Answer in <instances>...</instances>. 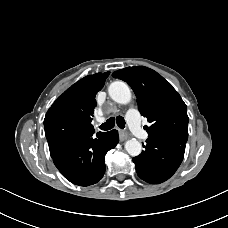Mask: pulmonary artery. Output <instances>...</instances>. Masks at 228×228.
<instances>
[{
    "label": "pulmonary artery",
    "instance_id": "e3ab8cb5",
    "mask_svg": "<svg viewBox=\"0 0 228 228\" xmlns=\"http://www.w3.org/2000/svg\"><path fill=\"white\" fill-rule=\"evenodd\" d=\"M127 120L134 135L140 139H147L148 133L142 128L139 113L136 109L130 108L127 112Z\"/></svg>",
    "mask_w": 228,
    "mask_h": 228
}]
</instances>
